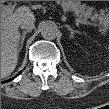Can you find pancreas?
<instances>
[{"mask_svg": "<svg viewBox=\"0 0 109 109\" xmlns=\"http://www.w3.org/2000/svg\"><path fill=\"white\" fill-rule=\"evenodd\" d=\"M56 3L61 5L63 11H73L82 23L98 26L102 33H106L108 31L109 19L108 15H106L104 11H101V13L96 11L93 12V7L82 4L80 1H56ZM88 19H90L92 23H89ZM96 21H98V23H95Z\"/></svg>", "mask_w": 109, "mask_h": 109, "instance_id": "1", "label": "pancreas"}]
</instances>
